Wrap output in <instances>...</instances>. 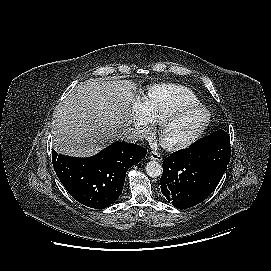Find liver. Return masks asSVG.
I'll return each mask as SVG.
<instances>
[{"label": "liver", "mask_w": 271, "mask_h": 271, "mask_svg": "<svg viewBox=\"0 0 271 271\" xmlns=\"http://www.w3.org/2000/svg\"><path fill=\"white\" fill-rule=\"evenodd\" d=\"M137 85L130 80H87L58 106L53 147L62 154L88 157L118 138L132 122Z\"/></svg>", "instance_id": "obj_1"}]
</instances>
